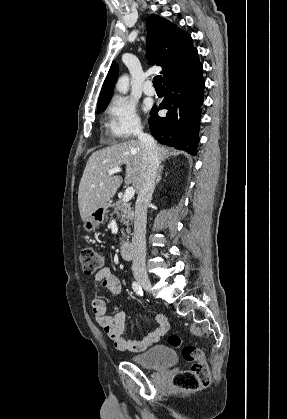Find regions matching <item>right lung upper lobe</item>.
I'll return each mask as SVG.
<instances>
[{
    "mask_svg": "<svg viewBox=\"0 0 287 419\" xmlns=\"http://www.w3.org/2000/svg\"><path fill=\"white\" fill-rule=\"evenodd\" d=\"M147 58L151 64L162 66L163 83L193 71L202 65L188 33L164 18L152 15L147 20ZM114 62L103 83L97 108L109 103L118 76Z\"/></svg>",
    "mask_w": 287,
    "mask_h": 419,
    "instance_id": "1",
    "label": "right lung upper lobe"
}]
</instances>
